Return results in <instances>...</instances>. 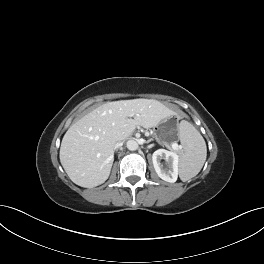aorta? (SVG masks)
<instances>
[{
    "label": "aorta",
    "mask_w": 264,
    "mask_h": 264,
    "mask_svg": "<svg viewBox=\"0 0 264 264\" xmlns=\"http://www.w3.org/2000/svg\"><path fill=\"white\" fill-rule=\"evenodd\" d=\"M126 146H127V148H128L129 150H131V151H135V150L138 149L139 144H138V142L135 141V140H128L127 143H126Z\"/></svg>",
    "instance_id": "762f6f07"
}]
</instances>
